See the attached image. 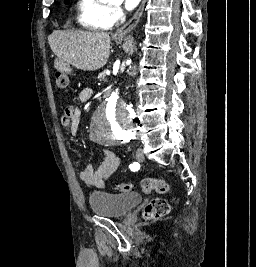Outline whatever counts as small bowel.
I'll list each match as a JSON object with an SVG mask.
<instances>
[{"label": "small bowel", "instance_id": "small-bowel-1", "mask_svg": "<svg viewBox=\"0 0 256 267\" xmlns=\"http://www.w3.org/2000/svg\"><path fill=\"white\" fill-rule=\"evenodd\" d=\"M92 95L93 90L91 88H84L81 90L79 98L81 101L87 102L91 99ZM61 124L64 127H69L71 133L76 136L79 128L78 109L74 106H68L61 118ZM119 165L120 158L113 150L106 148L101 163L97 167H94L91 164L86 165L80 172L79 178L87 186L103 188L105 182L113 175Z\"/></svg>", "mask_w": 256, "mask_h": 267}]
</instances>
